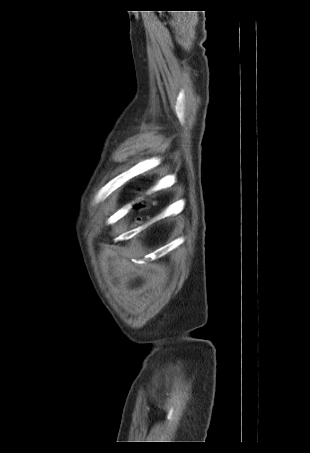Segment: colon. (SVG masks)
<instances>
[{
	"label": "colon",
	"mask_w": 310,
	"mask_h": 453,
	"mask_svg": "<svg viewBox=\"0 0 310 453\" xmlns=\"http://www.w3.org/2000/svg\"><path fill=\"white\" fill-rule=\"evenodd\" d=\"M153 203H154V200H150V201H146V200L137 201V202L135 203V208H136V210H138V211H140V212H141V211H145V210H147V209L149 208V206H150L151 204H153ZM137 220H138V223H142V222H143V216H142V215L138 216Z\"/></svg>",
	"instance_id": "1"
}]
</instances>
